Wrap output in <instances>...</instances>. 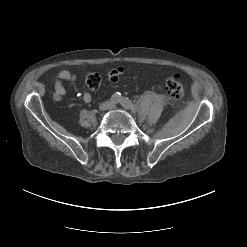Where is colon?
Instances as JSON below:
<instances>
[{"label": "colon", "mask_w": 247, "mask_h": 247, "mask_svg": "<svg viewBox=\"0 0 247 247\" xmlns=\"http://www.w3.org/2000/svg\"><path fill=\"white\" fill-rule=\"evenodd\" d=\"M109 72H111V70ZM85 82L88 88L95 90L101 84V77L98 73H90L86 76ZM165 92L168 96L176 100L184 96V86L178 74H173L168 77L165 83Z\"/></svg>", "instance_id": "1"}]
</instances>
